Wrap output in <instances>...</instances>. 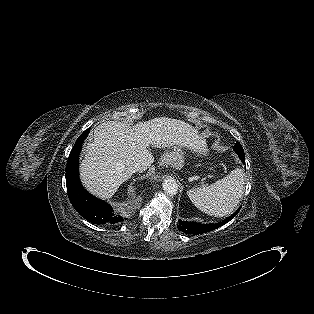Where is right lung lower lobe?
Here are the masks:
<instances>
[{"mask_svg": "<svg viewBox=\"0 0 314 314\" xmlns=\"http://www.w3.org/2000/svg\"><path fill=\"white\" fill-rule=\"evenodd\" d=\"M89 129L85 130L75 142L66 166V186L69 199L75 210L85 219L94 224H115L124 220L120 212L92 195L81 185L78 175V160L84 139Z\"/></svg>", "mask_w": 314, "mask_h": 314, "instance_id": "right-lung-lower-lobe-1", "label": "right lung lower lobe"}]
</instances>
